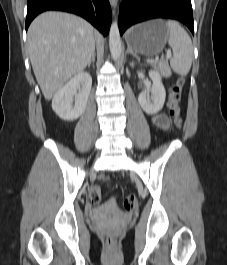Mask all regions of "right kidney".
<instances>
[{
    "label": "right kidney",
    "instance_id": "obj_1",
    "mask_svg": "<svg viewBox=\"0 0 227 265\" xmlns=\"http://www.w3.org/2000/svg\"><path fill=\"white\" fill-rule=\"evenodd\" d=\"M91 86L92 78L89 73L80 72L76 74L54 95L52 109L63 120H76L85 111ZM80 87L81 90L75 97V104L73 105L74 95Z\"/></svg>",
    "mask_w": 227,
    "mask_h": 265
}]
</instances>
